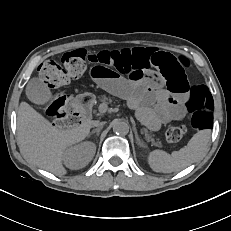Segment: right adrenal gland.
Wrapping results in <instances>:
<instances>
[{
	"mask_svg": "<svg viewBox=\"0 0 231 231\" xmlns=\"http://www.w3.org/2000/svg\"><path fill=\"white\" fill-rule=\"evenodd\" d=\"M101 129H102V127L97 128V129H94V130L89 134V136H91V135L94 134V133H97V135H98L99 132L101 131Z\"/></svg>",
	"mask_w": 231,
	"mask_h": 231,
	"instance_id": "right-adrenal-gland-1",
	"label": "right adrenal gland"
}]
</instances>
